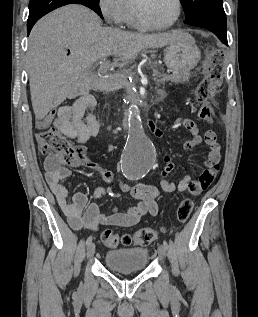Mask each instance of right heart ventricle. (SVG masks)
I'll list each match as a JSON object with an SVG mask.
<instances>
[{"label":"right heart ventricle","instance_id":"obj_1","mask_svg":"<svg viewBox=\"0 0 258 317\" xmlns=\"http://www.w3.org/2000/svg\"><path fill=\"white\" fill-rule=\"evenodd\" d=\"M126 1L128 4V14H127L126 22L131 26H135L136 25L135 7L139 0H126Z\"/></svg>","mask_w":258,"mask_h":317}]
</instances>
